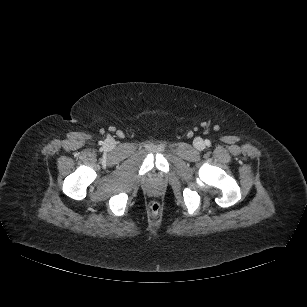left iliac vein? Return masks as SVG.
I'll return each instance as SVG.
<instances>
[{"label":"left iliac vein","instance_id":"left-iliac-vein-1","mask_svg":"<svg viewBox=\"0 0 307 307\" xmlns=\"http://www.w3.org/2000/svg\"><path fill=\"white\" fill-rule=\"evenodd\" d=\"M194 146H195V148H197L199 150H202L205 147L204 142L201 138H196L194 140Z\"/></svg>","mask_w":307,"mask_h":307}]
</instances>
